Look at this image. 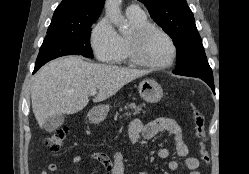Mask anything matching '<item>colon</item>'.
<instances>
[{"instance_id":"5ec220e1","label":"colon","mask_w":249,"mask_h":174,"mask_svg":"<svg viewBox=\"0 0 249 174\" xmlns=\"http://www.w3.org/2000/svg\"><path fill=\"white\" fill-rule=\"evenodd\" d=\"M192 118H193V133L198 142L197 151L202 162L204 163L205 166H207L210 162V157L208 150L204 145L206 137L204 133L203 116L196 107L193 108ZM68 134H69L68 128L57 129L53 131L46 138L45 145L48 147L50 151L57 152L62 148L63 143L67 138Z\"/></svg>"}]
</instances>
